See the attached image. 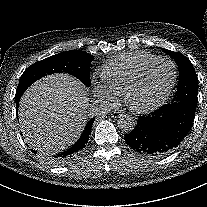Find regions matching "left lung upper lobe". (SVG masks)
I'll list each match as a JSON object with an SVG mask.
<instances>
[{
    "label": "left lung upper lobe",
    "mask_w": 207,
    "mask_h": 207,
    "mask_svg": "<svg viewBox=\"0 0 207 207\" xmlns=\"http://www.w3.org/2000/svg\"><path fill=\"white\" fill-rule=\"evenodd\" d=\"M163 51L169 54L176 61L179 67V83L172 102H181L190 107L196 108L198 102V81L192 63L181 53L167 49H163Z\"/></svg>",
    "instance_id": "obj_1"
}]
</instances>
